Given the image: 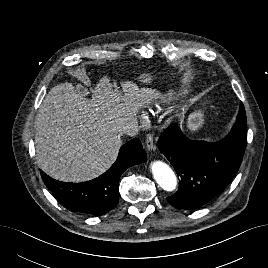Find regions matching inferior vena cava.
Returning <instances> with one entry per match:
<instances>
[{"instance_id":"inferior-vena-cava-1","label":"inferior vena cava","mask_w":268,"mask_h":268,"mask_svg":"<svg viewBox=\"0 0 268 268\" xmlns=\"http://www.w3.org/2000/svg\"><path fill=\"white\" fill-rule=\"evenodd\" d=\"M139 131L138 124H131L123 127V134L128 136H135Z\"/></svg>"}]
</instances>
